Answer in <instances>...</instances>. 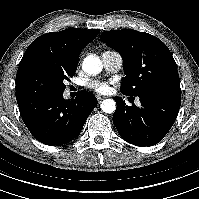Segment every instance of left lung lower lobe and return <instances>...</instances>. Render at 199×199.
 <instances>
[{"instance_id":"obj_1","label":"left lung lower lobe","mask_w":199,"mask_h":199,"mask_svg":"<svg viewBox=\"0 0 199 199\" xmlns=\"http://www.w3.org/2000/svg\"><path fill=\"white\" fill-rule=\"evenodd\" d=\"M138 97L141 107L127 106L122 99L114 98L117 108L113 123L127 142L152 146L159 143L174 124L181 105V94L152 92Z\"/></svg>"}]
</instances>
